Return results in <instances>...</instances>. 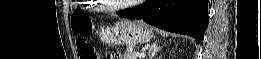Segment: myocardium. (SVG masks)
<instances>
[{"mask_svg": "<svg viewBox=\"0 0 261 59\" xmlns=\"http://www.w3.org/2000/svg\"><path fill=\"white\" fill-rule=\"evenodd\" d=\"M98 2L108 11H119L130 6L129 4H111L107 0H100Z\"/></svg>", "mask_w": 261, "mask_h": 59, "instance_id": "f54148a6", "label": "myocardium"}]
</instances>
